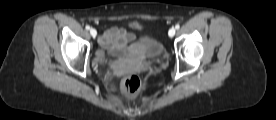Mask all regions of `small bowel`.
<instances>
[{
  "instance_id": "small-bowel-1",
  "label": "small bowel",
  "mask_w": 276,
  "mask_h": 120,
  "mask_svg": "<svg viewBox=\"0 0 276 120\" xmlns=\"http://www.w3.org/2000/svg\"><path fill=\"white\" fill-rule=\"evenodd\" d=\"M134 39V35L126 29L111 27L104 31L100 38V43L104 47L114 45H124Z\"/></svg>"
}]
</instances>
